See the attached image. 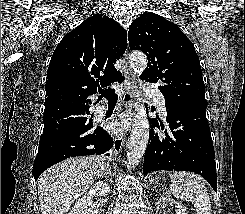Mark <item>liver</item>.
I'll use <instances>...</instances> for the list:
<instances>
[{"instance_id":"obj_1","label":"liver","mask_w":245,"mask_h":214,"mask_svg":"<svg viewBox=\"0 0 245 214\" xmlns=\"http://www.w3.org/2000/svg\"><path fill=\"white\" fill-rule=\"evenodd\" d=\"M106 171V161L99 156L67 159L46 170L38 179L42 214H67L74 201Z\"/></svg>"}]
</instances>
